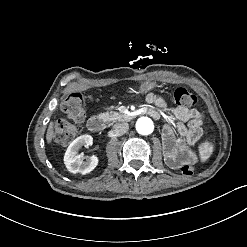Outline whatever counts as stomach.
<instances>
[{
  "label": "stomach",
  "instance_id": "0dacf381",
  "mask_svg": "<svg viewBox=\"0 0 247 247\" xmlns=\"http://www.w3.org/2000/svg\"><path fill=\"white\" fill-rule=\"evenodd\" d=\"M158 86L157 82L142 83L136 88L138 94L144 95L147 92L155 89Z\"/></svg>",
  "mask_w": 247,
  "mask_h": 247
}]
</instances>
